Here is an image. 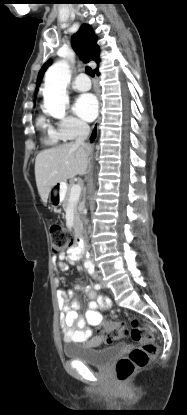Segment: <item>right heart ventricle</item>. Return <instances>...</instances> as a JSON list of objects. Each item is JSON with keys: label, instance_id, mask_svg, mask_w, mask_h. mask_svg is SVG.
I'll use <instances>...</instances> for the list:
<instances>
[{"label": "right heart ventricle", "instance_id": "e07e8e85", "mask_svg": "<svg viewBox=\"0 0 187 415\" xmlns=\"http://www.w3.org/2000/svg\"><path fill=\"white\" fill-rule=\"evenodd\" d=\"M37 127L42 133V141L46 145H56L63 139L58 128H55L44 116L37 118Z\"/></svg>", "mask_w": 187, "mask_h": 415}]
</instances>
